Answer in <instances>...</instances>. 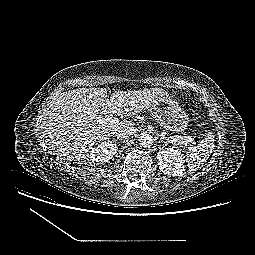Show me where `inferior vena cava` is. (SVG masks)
<instances>
[{
	"label": "inferior vena cava",
	"mask_w": 255,
	"mask_h": 255,
	"mask_svg": "<svg viewBox=\"0 0 255 255\" xmlns=\"http://www.w3.org/2000/svg\"><path fill=\"white\" fill-rule=\"evenodd\" d=\"M135 133V129L133 127H126V128H122L119 129L115 132V136L118 139H128L129 137H131L133 134Z\"/></svg>",
	"instance_id": "1"
}]
</instances>
